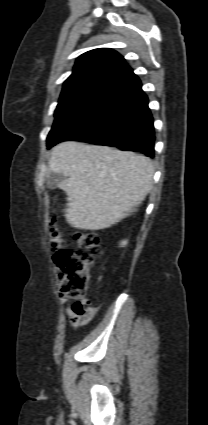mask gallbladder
<instances>
[{"label":"gallbladder","mask_w":208,"mask_h":425,"mask_svg":"<svg viewBox=\"0 0 208 425\" xmlns=\"http://www.w3.org/2000/svg\"><path fill=\"white\" fill-rule=\"evenodd\" d=\"M65 177L61 173L51 172L46 179V186L49 189H55L64 181Z\"/></svg>","instance_id":"obj_1"}]
</instances>
